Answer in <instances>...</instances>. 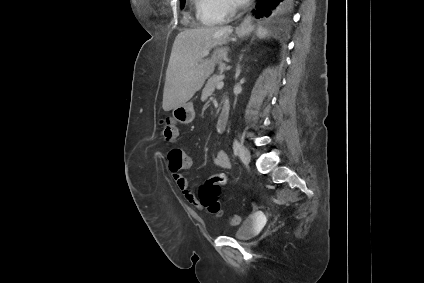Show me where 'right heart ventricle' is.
I'll return each mask as SVG.
<instances>
[{"label":"right heart ventricle","mask_w":424,"mask_h":283,"mask_svg":"<svg viewBox=\"0 0 424 283\" xmlns=\"http://www.w3.org/2000/svg\"><path fill=\"white\" fill-rule=\"evenodd\" d=\"M197 16L205 25H215L222 22V18L213 12L207 11L201 0H197Z\"/></svg>","instance_id":"obj_1"}]
</instances>
